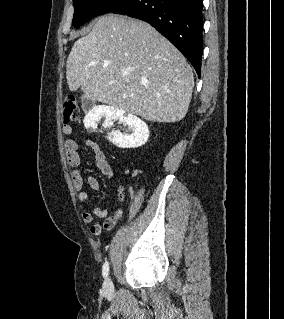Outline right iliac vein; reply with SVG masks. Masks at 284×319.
<instances>
[{
	"instance_id": "1",
	"label": "right iliac vein",
	"mask_w": 284,
	"mask_h": 319,
	"mask_svg": "<svg viewBox=\"0 0 284 319\" xmlns=\"http://www.w3.org/2000/svg\"><path fill=\"white\" fill-rule=\"evenodd\" d=\"M103 289L106 294H112L114 291V286L112 280L108 277L105 279L103 284Z\"/></svg>"
}]
</instances>
